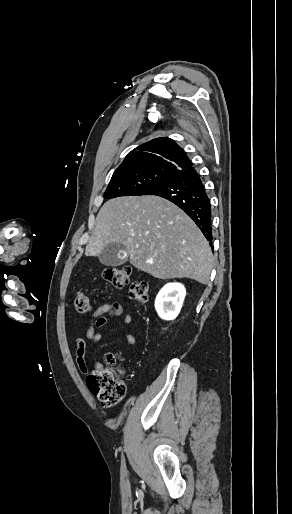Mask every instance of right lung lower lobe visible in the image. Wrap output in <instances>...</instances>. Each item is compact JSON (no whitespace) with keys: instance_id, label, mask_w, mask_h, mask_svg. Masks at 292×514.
I'll return each mask as SVG.
<instances>
[{"instance_id":"98d812e1","label":"right lung lower lobe","mask_w":292,"mask_h":514,"mask_svg":"<svg viewBox=\"0 0 292 514\" xmlns=\"http://www.w3.org/2000/svg\"><path fill=\"white\" fill-rule=\"evenodd\" d=\"M143 195L163 197L180 207L212 243L211 204L194 167L173 173Z\"/></svg>"}]
</instances>
